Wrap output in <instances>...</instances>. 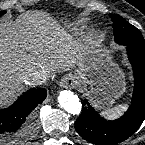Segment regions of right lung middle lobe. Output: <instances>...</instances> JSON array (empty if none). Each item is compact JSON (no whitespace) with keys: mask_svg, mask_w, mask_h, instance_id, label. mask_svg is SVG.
I'll use <instances>...</instances> for the list:
<instances>
[{"mask_svg":"<svg viewBox=\"0 0 145 145\" xmlns=\"http://www.w3.org/2000/svg\"><path fill=\"white\" fill-rule=\"evenodd\" d=\"M5 13H6V11H0V17Z\"/></svg>","mask_w":145,"mask_h":145,"instance_id":"obj_1","label":"right lung middle lobe"}]
</instances>
